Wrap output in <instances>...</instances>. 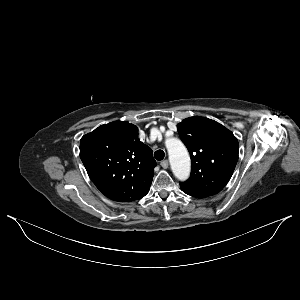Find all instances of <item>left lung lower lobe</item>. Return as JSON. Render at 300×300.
Returning <instances> with one entry per match:
<instances>
[{
	"label": "left lung lower lobe",
	"instance_id": "0a47b994",
	"mask_svg": "<svg viewBox=\"0 0 300 300\" xmlns=\"http://www.w3.org/2000/svg\"><path fill=\"white\" fill-rule=\"evenodd\" d=\"M183 192L186 193V194H188V195H190V196H193V195L189 194L188 192H186L184 190H183ZM194 197H196V196H194ZM197 198H199V197H197Z\"/></svg>",
	"mask_w": 300,
	"mask_h": 300
}]
</instances>
